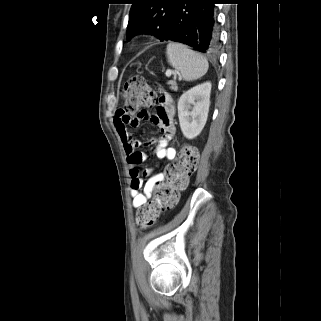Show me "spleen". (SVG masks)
<instances>
[{
	"instance_id": "obj_1",
	"label": "spleen",
	"mask_w": 321,
	"mask_h": 321,
	"mask_svg": "<svg viewBox=\"0 0 321 321\" xmlns=\"http://www.w3.org/2000/svg\"><path fill=\"white\" fill-rule=\"evenodd\" d=\"M166 55L169 64L181 73L185 81L197 80L208 71L207 59L184 44L170 42Z\"/></svg>"
}]
</instances>
